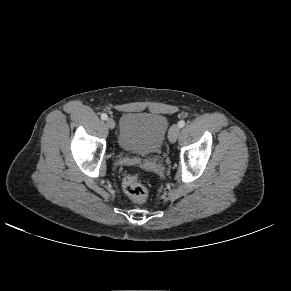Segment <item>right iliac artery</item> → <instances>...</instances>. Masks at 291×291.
I'll return each instance as SVG.
<instances>
[{
    "label": "right iliac artery",
    "mask_w": 291,
    "mask_h": 291,
    "mask_svg": "<svg viewBox=\"0 0 291 291\" xmlns=\"http://www.w3.org/2000/svg\"><path fill=\"white\" fill-rule=\"evenodd\" d=\"M107 118H108L107 114H105V113L101 114V119L102 120H107Z\"/></svg>",
    "instance_id": "obj_1"
}]
</instances>
